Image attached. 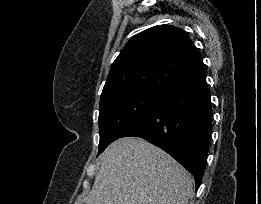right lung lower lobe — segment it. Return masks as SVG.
<instances>
[{"label": "right lung lower lobe", "mask_w": 261, "mask_h": 204, "mask_svg": "<svg viewBox=\"0 0 261 204\" xmlns=\"http://www.w3.org/2000/svg\"><path fill=\"white\" fill-rule=\"evenodd\" d=\"M211 95L204 67L165 93L162 100L121 137H140L160 147L201 184L212 132Z\"/></svg>", "instance_id": "obj_1"}]
</instances>
